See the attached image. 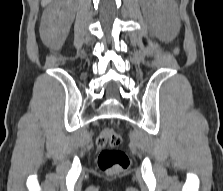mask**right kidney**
Listing matches in <instances>:
<instances>
[{
    "mask_svg": "<svg viewBox=\"0 0 223 191\" xmlns=\"http://www.w3.org/2000/svg\"><path fill=\"white\" fill-rule=\"evenodd\" d=\"M75 0H55L42 15L40 34L48 47L60 46L66 40L74 20Z\"/></svg>",
    "mask_w": 223,
    "mask_h": 191,
    "instance_id": "right-kidney-1",
    "label": "right kidney"
}]
</instances>
